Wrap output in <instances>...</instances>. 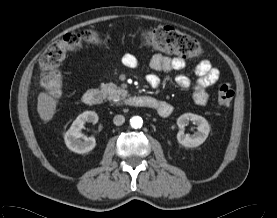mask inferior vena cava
Masks as SVG:
<instances>
[{"mask_svg":"<svg viewBox=\"0 0 277 218\" xmlns=\"http://www.w3.org/2000/svg\"><path fill=\"white\" fill-rule=\"evenodd\" d=\"M125 122V118L123 115H115L113 118V123L117 126L122 125Z\"/></svg>","mask_w":277,"mask_h":218,"instance_id":"inferior-vena-cava-1","label":"inferior vena cava"}]
</instances>
